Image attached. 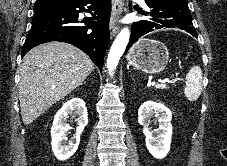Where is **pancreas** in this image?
Wrapping results in <instances>:
<instances>
[{"mask_svg": "<svg viewBox=\"0 0 227 166\" xmlns=\"http://www.w3.org/2000/svg\"><path fill=\"white\" fill-rule=\"evenodd\" d=\"M156 89H166L167 86L165 84H159L155 86Z\"/></svg>", "mask_w": 227, "mask_h": 166, "instance_id": "1", "label": "pancreas"}]
</instances>
